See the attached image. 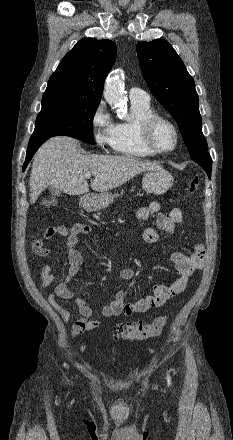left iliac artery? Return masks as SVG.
Listing matches in <instances>:
<instances>
[{"mask_svg": "<svg viewBox=\"0 0 233 440\" xmlns=\"http://www.w3.org/2000/svg\"><path fill=\"white\" fill-rule=\"evenodd\" d=\"M167 381H168V384L170 385L171 384V377L169 374H167Z\"/></svg>", "mask_w": 233, "mask_h": 440, "instance_id": "left-iliac-artery-1", "label": "left iliac artery"}]
</instances>
